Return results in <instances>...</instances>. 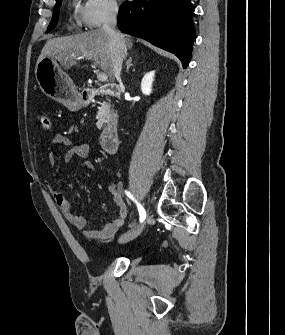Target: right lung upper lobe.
<instances>
[{
    "instance_id": "1",
    "label": "right lung upper lobe",
    "mask_w": 285,
    "mask_h": 335,
    "mask_svg": "<svg viewBox=\"0 0 285 335\" xmlns=\"http://www.w3.org/2000/svg\"><path fill=\"white\" fill-rule=\"evenodd\" d=\"M60 2H62V0H56V4H58V3H60Z\"/></svg>"
}]
</instances>
